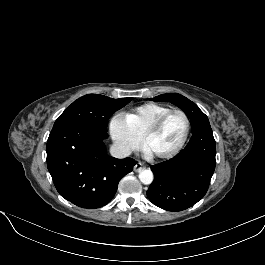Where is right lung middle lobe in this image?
<instances>
[{
    "mask_svg": "<svg viewBox=\"0 0 265 265\" xmlns=\"http://www.w3.org/2000/svg\"><path fill=\"white\" fill-rule=\"evenodd\" d=\"M131 100L132 98L112 99L99 94H87L67 107L57 118L53 128L62 124L75 123L91 126L107 133L108 119Z\"/></svg>",
    "mask_w": 265,
    "mask_h": 265,
    "instance_id": "right-lung-middle-lobe-1",
    "label": "right lung middle lobe"
}]
</instances>
